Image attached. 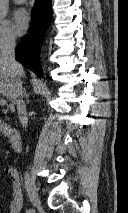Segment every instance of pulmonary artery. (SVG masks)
Wrapping results in <instances>:
<instances>
[{
    "label": "pulmonary artery",
    "instance_id": "pulmonary-artery-1",
    "mask_svg": "<svg viewBox=\"0 0 128 213\" xmlns=\"http://www.w3.org/2000/svg\"><path fill=\"white\" fill-rule=\"evenodd\" d=\"M17 4H23L26 0H13Z\"/></svg>",
    "mask_w": 128,
    "mask_h": 213
}]
</instances>
